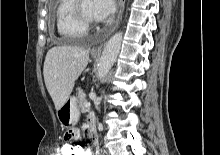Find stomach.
Returning <instances> with one entry per match:
<instances>
[{
	"instance_id": "stomach-1",
	"label": "stomach",
	"mask_w": 220,
	"mask_h": 155,
	"mask_svg": "<svg viewBox=\"0 0 220 155\" xmlns=\"http://www.w3.org/2000/svg\"><path fill=\"white\" fill-rule=\"evenodd\" d=\"M80 112L75 97H70L57 111V118L62 126H74L79 120Z\"/></svg>"
}]
</instances>
